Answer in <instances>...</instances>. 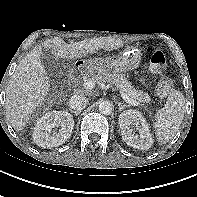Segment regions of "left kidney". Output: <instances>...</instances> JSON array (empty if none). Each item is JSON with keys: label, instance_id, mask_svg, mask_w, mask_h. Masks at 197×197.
I'll return each instance as SVG.
<instances>
[{"label": "left kidney", "instance_id": "1", "mask_svg": "<svg viewBox=\"0 0 197 197\" xmlns=\"http://www.w3.org/2000/svg\"><path fill=\"white\" fill-rule=\"evenodd\" d=\"M132 125L136 127L139 135L133 132ZM119 126L122 138L127 145L140 150L149 149L153 145L149 125L139 111L127 110L121 113L119 116Z\"/></svg>", "mask_w": 197, "mask_h": 197}]
</instances>
